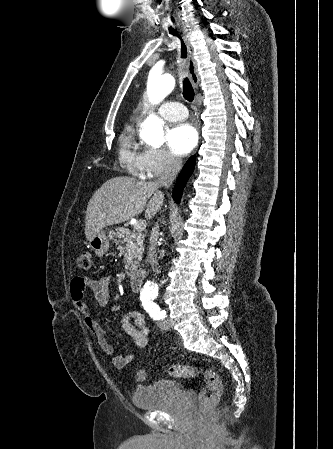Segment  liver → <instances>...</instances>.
<instances>
[{
	"label": "liver",
	"mask_w": 333,
	"mask_h": 449,
	"mask_svg": "<svg viewBox=\"0 0 333 449\" xmlns=\"http://www.w3.org/2000/svg\"><path fill=\"white\" fill-rule=\"evenodd\" d=\"M159 186L128 177H114L106 181L88 203L86 238L91 240L104 227L134 218L145 207V218L151 219L163 205L164 195L158 190Z\"/></svg>",
	"instance_id": "1"
}]
</instances>
